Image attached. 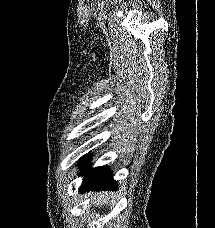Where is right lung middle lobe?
<instances>
[{
    "instance_id": "1",
    "label": "right lung middle lobe",
    "mask_w": 215,
    "mask_h": 228,
    "mask_svg": "<svg viewBox=\"0 0 215 228\" xmlns=\"http://www.w3.org/2000/svg\"><path fill=\"white\" fill-rule=\"evenodd\" d=\"M90 156L84 157L79 163L83 166L89 162Z\"/></svg>"
}]
</instances>
